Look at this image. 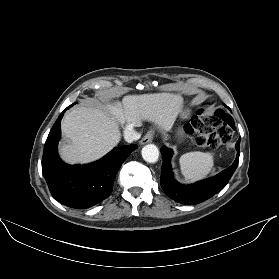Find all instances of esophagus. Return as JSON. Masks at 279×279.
<instances>
[{
  "instance_id": "esophagus-1",
  "label": "esophagus",
  "mask_w": 279,
  "mask_h": 279,
  "mask_svg": "<svg viewBox=\"0 0 279 279\" xmlns=\"http://www.w3.org/2000/svg\"><path fill=\"white\" fill-rule=\"evenodd\" d=\"M153 136H154V131H152V130L148 131L145 134V136L142 138V140L140 141L141 145L152 142Z\"/></svg>"
}]
</instances>
